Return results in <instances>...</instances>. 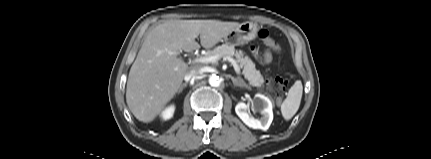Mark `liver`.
Instances as JSON below:
<instances>
[{"label":"liver","mask_w":431,"mask_h":159,"mask_svg":"<svg viewBox=\"0 0 431 159\" xmlns=\"http://www.w3.org/2000/svg\"><path fill=\"white\" fill-rule=\"evenodd\" d=\"M237 22L219 20H169L153 28L146 36L130 69L126 102L141 122L153 121L179 91L184 76L197 66H188L177 55L181 50L215 46ZM169 51L176 54H169Z\"/></svg>","instance_id":"1"}]
</instances>
